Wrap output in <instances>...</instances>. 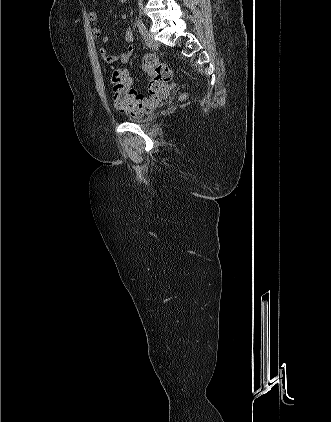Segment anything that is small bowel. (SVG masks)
Instances as JSON below:
<instances>
[{
  "label": "small bowel",
  "mask_w": 331,
  "mask_h": 422,
  "mask_svg": "<svg viewBox=\"0 0 331 422\" xmlns=\"http://www.w3.org/2000/svg\"><path fill=\"white\" fill-rule=\"evenodd\" d=\"M118 2L125 3L126 1L118 0ZM88 19L93 24V34L96 36L98 43L100 45L99 52H100V56L103 62L107 64H120V65L127 64L134 51V46L132 44L134 41V34L132 30L128 29L125 31L124 39L128 43L125 51L117 55H112L104 47V45L109 41V37L106 35H102V32L100 28L98 27L99 14L96 11H90L88 13ZM122 19L125 20L126 16L122 15Z\"/></svg>",
  "instance_id": "small-bowel-1"
}]
</instances>
